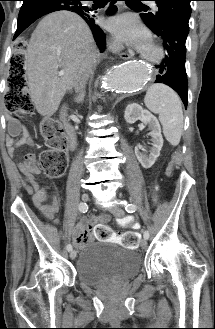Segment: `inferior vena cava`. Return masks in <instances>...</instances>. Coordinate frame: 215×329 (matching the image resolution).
Returning a JSON list of instances; mask_svg holds the SVG:
<instances>
[{
	"mask_svg": "<svg viewBox=\"0 0 215 329\" xmlns=\"http://www.w3.org/2000/svg\"><path fill=\"white\" fill-rule=\"evenodd\" d=\"M97 57V51H93L83 60L74 82L76 92H81L85 88V85L96 65Z\"/></svg>",
	"mask_w": 215,
	"mask_h": 329,
	"instance_id": "1",
	"label": "inferior vena cava"
}]
</instances>
